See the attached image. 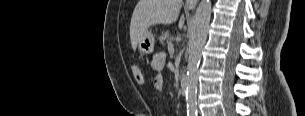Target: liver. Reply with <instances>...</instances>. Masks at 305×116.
I'll return each mask as SVG.
<instances>
[{"label":"liver","instance_id":"obj_1","mask_svg":"<svg viewBox=\"0 0 305 116\" xmlns=\"http://www.w3.org/2000/svg\"><path fill=\"white\" fill-rule=\"evenodd\" d=\"M182 0H139L130 23V39L133 50L144 34L152 25H169L174 23L179 16ZM184 15L180 18L179 28L184 25Z\"/></svg>","mask_w":305,"mask_h":116}]
</instances>
